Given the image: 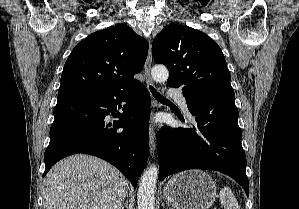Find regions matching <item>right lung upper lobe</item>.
I'll return each mask as SVG.
<instances>
[{"mask_svg": "<svg viewBox=\"0 0 299 209\" xmlns=\"http://www.w3.org/2000/svg\"><path fill=\"white\" fill-rule=\"evenodd\" d=\"M147 54V41L126 25L97 31L69 55L58 96L134 88L141 83L133 76L142 70Z\"/></svg>", "mask_w": 299, "mask_h": 209, "instance_id": "1", "label": "right lung upper lobe"}]
</instances>
